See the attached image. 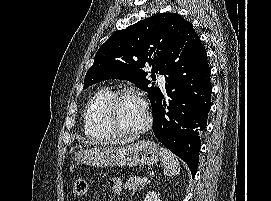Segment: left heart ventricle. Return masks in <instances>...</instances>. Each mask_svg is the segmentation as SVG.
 Instances as JSON below:
<instances>
[{"mask_svg": "<svg viewBox=\"0 0 271 201\" xmlns=\"http://www.w3.org/2000/svg\"><path fill=\"white\" fill-rule=\"evenodd\" d=\"M115 115L120 126L127 130L140 128L146 118L143 104L132 97H125L118 101Z\"/></svg>", "mask_w": 271, "mask_h": 201, "instance_id": "left-heart-ventricle-1", "label": "left heart ventricle"}]
</instances>
